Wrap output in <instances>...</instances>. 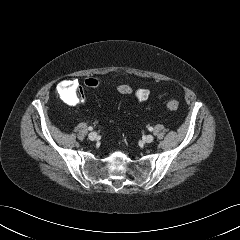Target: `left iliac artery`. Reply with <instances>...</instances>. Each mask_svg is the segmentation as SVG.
Instances as JSON below:
<instances>
[{
  "mask_svg": "<svg viewBox=\"0 0 240 240\" xmlns=\"http://www.w3.org/2000/svg\"><path fill=\"white\" fill-rule=\"evenodd\" d=\"M148 130H149V131H153V128H152V127H149Z\"/></svg>",
  "mask_w": 240,
  "mask_h": 240,
  "instance_id": "obj_1",
  "label": "left iliac artery"
}]
</instances>
